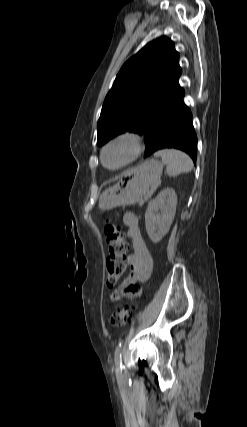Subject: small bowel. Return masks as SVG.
I'll return each instance as SVG.
<instances>
[{
  "mask_svg": "<svg viewBox=\"0 0 247 427\" xmlns=\"http://www.w3.org/2000/svg\"><path fill=\"white\" fill-rule=\"evenodd\" d=\"M126 236L131 243L133 253L129 256L130 275L112 294L111 299L118 301L122 298L134 299L140 296V284L145 283L153 269L151 254L142 237L139 221L136 215L127 213L123 217Z\"/></svg>",
  "mask_w": 247,
  "mask_h": 427,
  "instance_id": "c3829d8e",
  "label": "small bowel"
}]
</instances>
